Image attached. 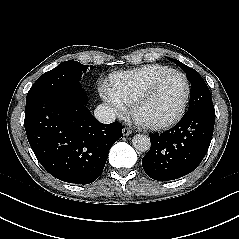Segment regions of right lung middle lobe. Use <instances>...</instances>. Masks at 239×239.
<instances>
[{"label":"right lung middle lobe","instance_id":"dd1d6c3e","mask_svg":"<svg viewBox=\"0 0 239 239\" xmlns=\"http://www.w3.org/2000/svg\"><path fill=\"white\" fill-rule=\"evenodd\" d=\"M94 67L90 66V69ZM87 68V65L73 60L60 63L37 79L29 90L27 99L46 92L80 89L79 81Z\"/></svg>","mask_w":239,"mask_h":239}]
</instances>
